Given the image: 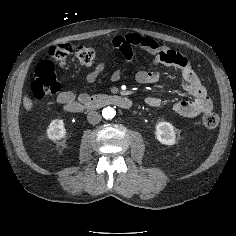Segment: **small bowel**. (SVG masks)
I'll return each instance as SVG.
<instances>
[{
	"mask_svg": "<svg viewBox=\"0 0 236 236\" xmlns=\"http://www.w3.org/2000/svg\"><path fill=\"white\" fill-rule=\"evenodd\" d=\"M105 47L117 49L122 56L131 61L133 50L139 47L154 56L155 66L164 65L172 71L180 74L181 87L190 94V100H181L174 104V111L188 118L196 117L202 113L212 110L213 104L207 96L204 86L201 84L198 76L191 68L187 58L181 53L166 46L159 45L154 39L144 37L139 34L131 33L114 37L111 42L104 44ZM105 63L100 61L94 69L86 75L88 83L94 82L104 71ZM121 77V71L117 70L111 75V81L116 82ZM160 73L156 70H140L136 73L135 79L140 84H152L159 80ZM87 97V94L76 95L73 91H62L57 96V102L62 105L67 112H78L79 104ZM145 102L150 107H159L161 100L157 97H147Z\"/></svg>",
	"mask_w": 236,
	"mask_h": 236,
	"instance_id": "1",
	"label": "small bowel"
}]
</instances>
